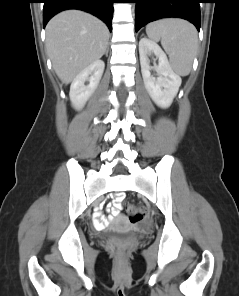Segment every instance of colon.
I'll return each mask as SVG.
<instances>
[{"label":"colon","instance_id":"1","mask_svg":"<svg viewBox=\"0 0 239 296\" xmlns=\"http://www.w3.org/2000/svg\"><path fill=\"white\" fill-rule=\"evenodd\" d=\"M119 197H121V200H122V196H119ZM124 212L128 220L132 224H136L142 221L146 215V212L142 207L133 205V204L126 205L124 208ZM113 249L117 254H120V255H123L126 252V248L122 244L114 245Z\"/></svg>","mask_w":239,"mask_h":296}]
</instances>
